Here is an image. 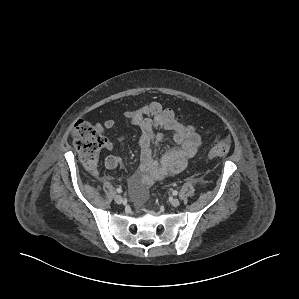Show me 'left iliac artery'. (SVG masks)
<instances>
[{"mask_svg": "<svg viewBox=\"0 0 299 299\" xmlns=\"http://www.w3.org/2000/svg\"><path fill=\"white\" fill-rule=\"evenodd\" d=\"M172 194L176 196V195L178 194V191L174 190V191L172 192Z\"/></svg>", "mask_w": 299, "mask_h": 299, "instance_id": "44dca946", "label": "left iliac artery"}]
</instances>
